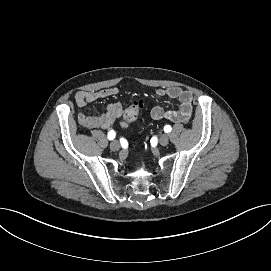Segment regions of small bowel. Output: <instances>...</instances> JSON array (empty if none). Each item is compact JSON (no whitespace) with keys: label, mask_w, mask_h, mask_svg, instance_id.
<instances>
[{"label":"small bowel","mask_w":271,"mask_h":271,"mask_svg":"<svg viewBox=\"0 0 271 271\" xmlns=\"http://www.w3.org/2000/svg\"><path fill=\"white\" fill-rule=\"evenodd\" d=\"M118 93L116 87H109L96 91H78L75 96L76 105L79 108L86 107L89 103L99 99L115 96ZM156 96L159 98L167 97L179 101V107L176 110H166L160 106H154L150 110L153 119H168L172 122H187L193 112V95L190 91L180 87H168L158 89ZM123 112V105L120 102H114L108 105L105 113L100 116H87L83 113L78 114V122L81 126L89 130H109L113 127L117 119Z\"/></svg>","instance_id":"c3829d8e"}]
</instances>
